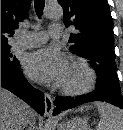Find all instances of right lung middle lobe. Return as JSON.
Here are the masks:
<instances>
[{
  "instance_id": "obj_1",
  "label": "right lung middle lobe",
  "mask_w": 123,
  "mask_h": 130,
  "mask_svg": "<svg viewBox=\"0 0 123 130\" xmlns=\"http://www.w3.org/2000/svg\"><path fill=\"white\" fill-rule=\"evenodd\" d=\"M10 46L8 44H1V63L18 67L20 66L19 61L10 54Z\"/></svg>"
}]
</instances>
